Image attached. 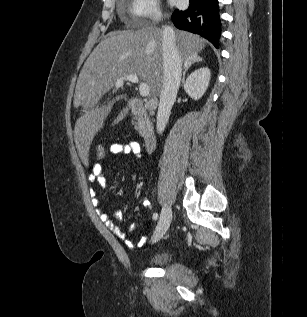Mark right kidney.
<instances>
[{"instance_id":"ca27d5eb","label":"right kidney","mask_w":307,"mask_h":317,"mask_svg":"<svg viewBox=\"0 0 307 317\" xmlns=\"http://www.w3.org/2000/svg\"><path fill=\"white\" fill-rule=\"evenodd\" d=\"M210 77L211 72L208 67L199 68L188 76L184 84V90L192 99L198 100L206 92Z\"/></svg>"}]
</instances>
